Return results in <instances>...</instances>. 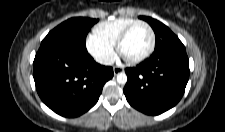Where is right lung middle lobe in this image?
Here are the masks:
<instances>
[{"mask_svg": "<svg viewBox=\"0 0 225 132\" xmlns=\"http://www.w3.org/2000/svg\"><path fill=\"white\" fill-rule=\"evenodd\" d=\"M98 21L83 17L68 19L50 31L41 46L54 45L85 51L88 31Z\"/></svg>", "mask_w": 225, "mask_h": 132, "instance_id": "right-lung-middle-lobe-1", "label": "right lung middle lobe"}]
</instances>
